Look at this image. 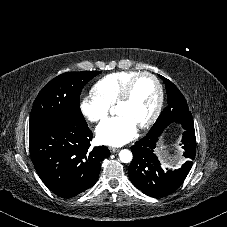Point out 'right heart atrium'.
Listing matches in <instances>:
<instances>
[{
	"label": "right heart atrium",
	"mask_w": 227,
	"mask_h": 227,
	"mask_svg": "<svg viewBox=\"0 0 227 227\" xmlns=\"http://www.w3.org/2000/svg\"><path fill=\"white\" fill-rule=\"evenodd\" d=\"M81 114L90 122H98L107 116L109 106L95 94L84 96L79 105Z\"/></svg>",
	"instance_id": "obj_1"
}]
</instances>
